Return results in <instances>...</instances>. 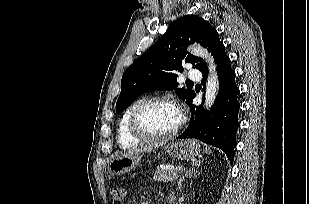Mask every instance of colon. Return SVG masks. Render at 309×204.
<instances>
[{
  "mask_svg": "<svg viewBox=\"0 0 309 204\" xmlns=\"http://www.w3.org/2000/svg\"><path fill=\"white\" fill-rule=\"evenodd\" d=\"M110 195L112 197L113 204H123L126 190L122 186L114 185L110 188Z\"/></svg>",
  "mask_w": 309,
  "mask_h": 204,
  "instance_id": "5ec220e1",
  "label": "colon"
}]
</instances>
